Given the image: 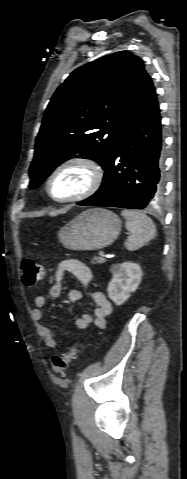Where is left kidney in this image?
<instances>
[{
	"label": "left kidney",
	"mask_w": 187,
	"mask_h": 479,
	"mask_svg": "<svg viewBox=\"0 0 187 479\" xmlns=\"http://www.w3.org/2000/svg\"><path fill=\"white\" fill-rule=\"evenodd\" d=\"M113 277L108 285V296L116 304L126 302L131 293L135 292L142 279L140 265L132 262L113 264L110 268Z\"/></svg>",
	"instance_id": "1"
}]
</instances>
